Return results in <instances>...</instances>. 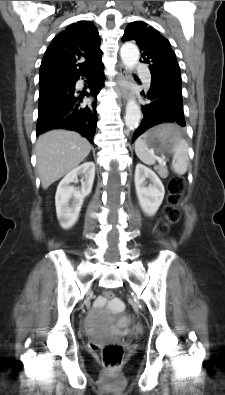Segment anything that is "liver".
<instances>
[{"mask_svg": "<svg viewBox=\"0 0 225 395\" xmlns=\"http://www.w3.org/2000/svg\"><path fill=\"white\" fill-rule=\"evenodd\" d=\"M91 150L89 141L79 133L52 130L36 142L37 171L43 189L76 168Z\"/></svg>", "mask_w": 225, "mask_h": 395, "instance_id": "obj_1", "label": "liver"}]
</instances>
